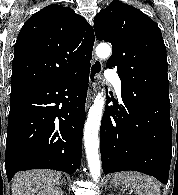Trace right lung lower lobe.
<instances>
[{
  "mask_svg": "<svg viewBox=\"0 0 178 195\" xmlns=\"http://www.w3.org/2000/svg\"><path fill=\"white\" fill-rule=\"evenodd\" d=\"M90 66L67 79L11 91L6 139L8 181L20 170L80 168Z\"/></svg>",
  "mask_w": 178,
  "mask_h": 195,
  "instance_id": "98d812e1",
  "label": "right lung lower lobe"
}]
</instances>
